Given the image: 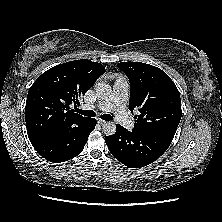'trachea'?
I'll use <instances>...</instances> for the list:
<instances>
[{
	"label": "trachea",
	"instance_id": "1",
	"mask_svg": "<svg viewBox=\"0 0 222 222\" xmlns=\"http://www.w3.org/2000/svg\"><path fill=\"white\" fill-rule=\"evenodd\" d=\"M77 112L84 115V116H88V117H95V115H96L93 110L78 109ZM100 118L105 120V121L113 120V117L111 115H108V114H103V115L100 116Z\"/></svg>",
	"mask_w": 222,
	"mask_h": 222
}]
</instances>
